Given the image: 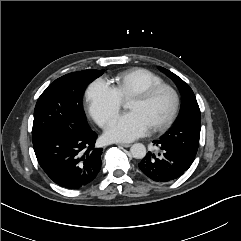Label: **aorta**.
<instances>
[{"label":"aorta","mask_w":241,"mask_h":241,"mask_svg":"<svg viewBox=\"0 0 241 241\" xmlns=\"http://www.w3.org/2000/svg\"><path fill=\"white\" fill-rule=\"evenodd\" d=\"M132 157L142 159L146 155V147L142 143H135L130 148Z\"/></svg>","instance_id":"obj_1"}]
</instances>
